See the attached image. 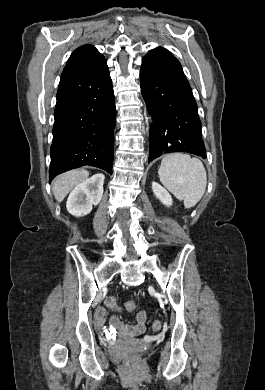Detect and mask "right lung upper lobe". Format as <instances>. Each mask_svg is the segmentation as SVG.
<instances>
[{
	"label": "right lung upper lobe",
	"mask_w": 265,
	"mask_h": 390,
	"mask_svg": "<svg viewBox=\"0 0 265 390\" xmlns=\"http://www.w3.org/2000/svg\"><path fill=\"white\" fill-rule=\"evenodd\" d=\"M104 61V56L92 45H83L71 54L62 72L60 82L79 76Z\"/></svg>",
	"instance_id": "right-lung-upper-lobe-1"
}]
</instances>
